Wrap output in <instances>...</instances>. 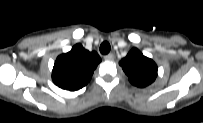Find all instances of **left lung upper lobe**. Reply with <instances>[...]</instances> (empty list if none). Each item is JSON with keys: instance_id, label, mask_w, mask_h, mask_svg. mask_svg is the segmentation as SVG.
<instances>
[{"instance_id": "1", "label": "left lung upper lobe", "mask_w": 203, "mask_h": 123, "mask_svg": "<svg viewBox=\"0 0 203 123\" xmlns=\"http://www.w3.org/2000/svg\"><path fill=\"white\" fill-rule=\"evenodd\" d=\"M119 64L129 77V81L135 86L146 87L157 77L155 62L145 57L137 48L131 49Z\"/></svg>"}]
</instances>
